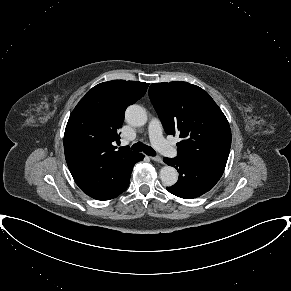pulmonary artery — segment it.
Masks as SVG:
<instances>
[{
  "label": "pulmonary artery",
  "mask_w": 291,
  "mask_h": 291,
  "mask_svg": "<svg viewBox=\"0 0 291 291\" xmlns=\"http://www.w3.org/2000/svg\"><path fill=\"white\" fill-rule=\"evenodd\" d=\"M149 137L153 146L164 156L175 157L177 150L162 135V126L157 118H152L148 125Z\"/></svg>",
  "instance_id": "obj_1"
}]
</instances>
